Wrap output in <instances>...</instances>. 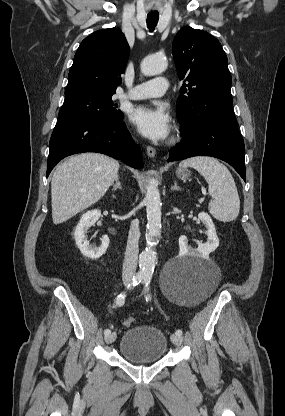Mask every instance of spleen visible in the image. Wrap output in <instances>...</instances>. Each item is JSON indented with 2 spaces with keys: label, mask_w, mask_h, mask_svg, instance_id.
Segmentation results:
<instances>
[{
  "label": "spleen",
  "mask_w": 285,
  "mask_h": 416,
  "mask_svg": "<svg viewBox=\"0 0 285 416\" xmlns=\"http://www.w3.org/2000/svg\"><path fill=\"white\" fill-rule=\"evenodd\" d=\"M180 168H194L208 182L210 200L208 210L219 222H233L240 212L236 184L226 166L215 158L197 156L179 164Z\"/></svg>",
  "instance_id": "spleen-1"
}]
</instances>
